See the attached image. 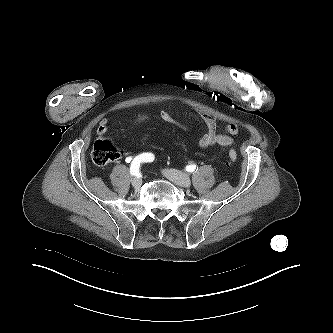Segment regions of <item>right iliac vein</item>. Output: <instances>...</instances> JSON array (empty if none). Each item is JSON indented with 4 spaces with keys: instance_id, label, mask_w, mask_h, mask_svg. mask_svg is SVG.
<instances>
[{
    "instance_id": "obj_1",
    "label": "right iliac vein",
    "mask_w": 333,
    "mask_h": 333,
    "mask_svg": "<svg viewBox=\"0 0 333 333\" xmlns=\"http://www.w3.org/2000/svg\"><path fill=\"white\" fill-rule=\"evenodd\" d=\"M132 185L134 188H140L142 185V179L140 177L133 178Z\"/></svg>"
}]
</instances>
